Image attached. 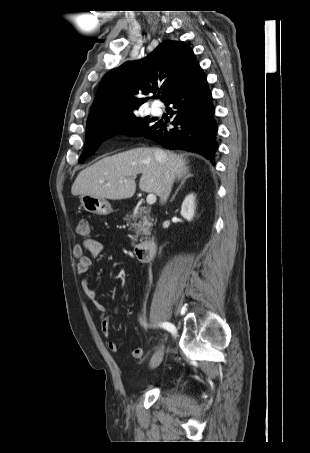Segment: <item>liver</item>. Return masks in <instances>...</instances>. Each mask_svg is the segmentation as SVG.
<instances>
[{"label": "liver", "mask_w": 310, "mask_h": 453, "mask_svg": "<svg viewBox=\"0 0 310 453\" xmlns=\"http://www.w3.org/2000/svg\"><path fill=\"white\" fill-rule=\"evenodd\" d=\"M154 151L153 148H135L99 160L78 174L71 188L72 195L128 199L136 191L135 177L141 174L140 190L160 197L166 171L164 165L156 160ZM164 155L173 173V180L180 178L187 170V161L173 152H164Z\"/></svg>", "instance_id": "1"}]
</instances>
